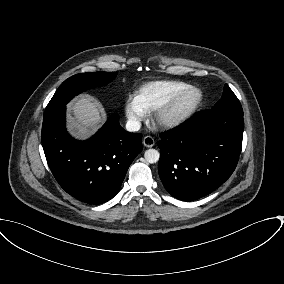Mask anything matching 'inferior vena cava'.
<instances>
[{
	"label": "inferior vena cava",
	"instance_id": "inferior-vena-cava-1",
	"mask_svg": "<svg viewBox=\"0 0 284 284\" xmlns=\"http://www.w3.org/2000/svg\"><path fill=\"white\" fill-rule=\"evenodd\" d=\"M141 127V123L136 120H128L126 123V130L129 132L138 131Z\"/></svg>",
	"mask_w": 284,
	"mask_h": 284
}]
</instances>
